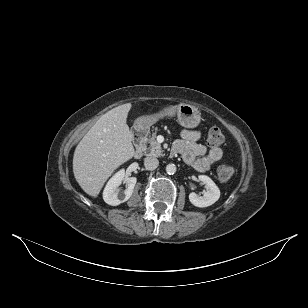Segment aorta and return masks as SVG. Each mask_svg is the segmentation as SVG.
Masks as SVG:
<instances>
[{
    "label": "aorta",
    "mask_w": 308,
    "mask_h": 308,
    "mask_svg": "<svg viewBox=\"0 0 308 308\" xmlns=\"http://www.w3.org/2000/svg\"><path fill=\"white\" fill-rule=\"evenodd\" d=\"M166 172H167V174H169V175L175 174V172H176V166H175L174 164H168V165L166 166Z\"/></svg>",
    "instance_id": "obj_1"
}]
</instances>
